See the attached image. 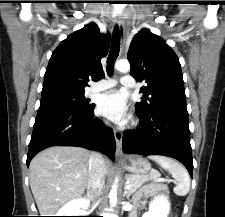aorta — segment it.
<instances>
[{"label": "aorta", "mask_w": 225, "mask_h": 217, "mask_svg": "<svg viewBox=\"0 0 225 217\" xmlns=\"http://www.w3.org/2000/svg\"><path fill=\"white\" fill-rule=\"evenodd\" d=\"M115 68L120 72L126 73L130 70V64L128 61L120 60L115 63ZM110 204L111 206L116 204V197L110 198Z\"/></svg>", "instance_id": "1"}]
</instances>
